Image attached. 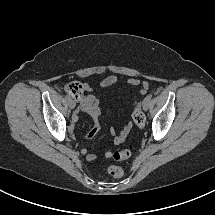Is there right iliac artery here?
I'll use <instances>...</instances> for the list:
<instances>
[{"instance_id":"82829eb1","label":"right iliac artery","mask_w":215,"mask_h":215,"mask_svg":"<svg viewBox=\"0 0 215 215\" xmlns=\"http://www.w3.org/2000/svg\"><path fill=\"white\" fill-rule=\"evenodd\" d=\"M65 97H66V99H67V100H70V97H69V95H66Z\"/></svg>"}]
</instances>
